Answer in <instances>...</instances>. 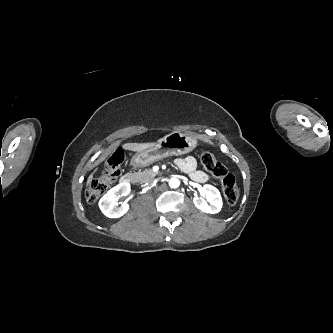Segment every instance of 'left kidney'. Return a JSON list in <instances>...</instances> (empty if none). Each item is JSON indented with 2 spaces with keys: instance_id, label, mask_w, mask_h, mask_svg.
Masks as SVG:
<instances>
[{
  "instance_id": "5707ae66",
  "label": "left kidney",
  "mask_w": 333,
  "mask_h": 333,
  "mask_svg": "<svg viewBox=\"0 0 333 333\" xmlns=\"http://www.w3.org/2000/svg\"><path fill=\"white\" fill-rule=\"evenodd\" d=\"M202 198L194 197V205L205 213L215 214L218 213L223 205L220 192L217 188L212 185L206 184L201 188Z\"/></svg>"
}]
</instances>
